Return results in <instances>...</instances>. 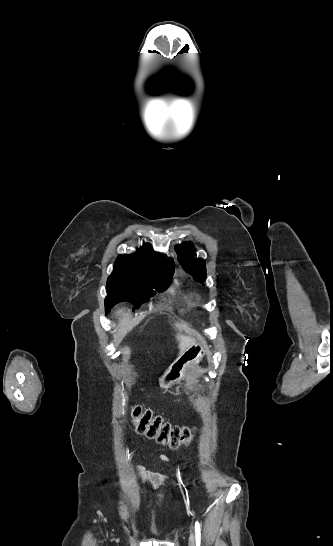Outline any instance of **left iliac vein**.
Masks as SVG:
<instances>
[{
  "instance_id": "left-iliac-vein-1",
  "label": "left iliac vein",
  "mask_w": 333,
  "mask_h": 546,
  "mask_svg": "<svg viewBox=\"0 0 333 546\" xmlns=\"http://www.w3.org/2000/svg\"><path fill=\"white\" fill-rule=\"evenodd\" d=\"M189 546H195V535L193 531L191 532V535H190Z\"/></svg>"
}]
</instances>
